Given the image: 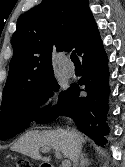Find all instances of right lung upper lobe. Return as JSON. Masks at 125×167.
Masks as SVG:
<instances>
[{
    "mask_svg": "<svg viewBox=\"0 0 125 167\" xmlns=\"http://www.w3.org/2000/svg\"><path fill=\"white\" fill-rule=\"evenodd\" d=\"M98 33L88 0H43L21 15L12 36L13 57L3 99L28 92L54 77L53 51L78 55Z\"/></svg>",
    "mask_w": 125,
    "mask_h": 167,
    "instance_id": "cb5924a9",
    "label": "right lung upper lobe"
}]
</instances>
